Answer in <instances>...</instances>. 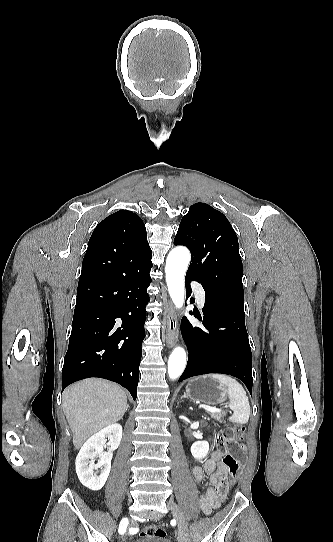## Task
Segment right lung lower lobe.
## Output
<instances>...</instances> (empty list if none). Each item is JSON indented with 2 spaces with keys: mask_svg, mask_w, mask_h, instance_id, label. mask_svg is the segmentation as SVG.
I'll list each match as a JSON object with an SVG mask.
<instances>
[{
  "mask_svg": "<svg viewBox=\"0 0 333 542\" xmlns=\"http://www.w3.org/2000/svg\"><path fill=\"white\" fill-rule=\"evenodd\" d=\"M151 258L150 247L86 252L82 270L97 275L79 279L62 391L100 377L136 399Z\"/></svg>",
  "mask_w": 333,
  "mask_h": 542,
  "instance_id": "right-lung-lower-lobe-1",
  "label": "right lung lower lobe"
}]
</instances>
